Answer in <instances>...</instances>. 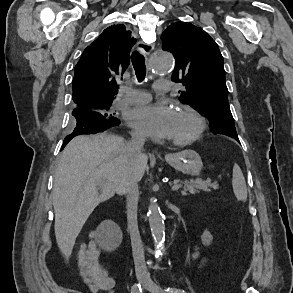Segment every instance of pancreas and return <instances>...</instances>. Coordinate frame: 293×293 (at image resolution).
<instances>
[{
	"mask_svg": "<svg viewBox=\"0 0 293 293\" xmlns=\"http://www.w3.org/2000/svg\"><path fill=\"white\" fill-rule=\"evenodd\" d=\"M179 181H174V184H177ZM179 186L182 188L181 194L183 196H187L189 193L190 194H196L199 193L200 191H205V192H210L211 189H217L218 186L215 183H211L210 179L207 180H202L201 178H197L195 180H185L182 181Z\"/></svg>",
	"mask_w": 293,
	"mask_h": 293,
	"instance_id": "pancreas-1",
	"label": "pancreas"
}]
</instances>
